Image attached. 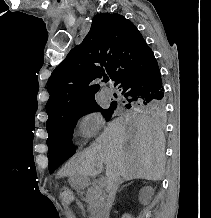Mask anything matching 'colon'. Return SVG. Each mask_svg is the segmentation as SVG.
Listing matches in <instances>:
<instances>
[{"label": "colon", "instance_id": "1", "mask_svg": "<svg viewBox=\"0 0 211 218\" xmlns=\"http://www.w3.org/2000/svg\"><path fill=\"white\" fill-rule=\"evenodd\" d=\"M60 198L65 202L73 200L72 190L68 186H62L59 190Z\"/></svg>", "mask_w": 211, "mask_h": 218}]
</instances>
